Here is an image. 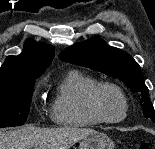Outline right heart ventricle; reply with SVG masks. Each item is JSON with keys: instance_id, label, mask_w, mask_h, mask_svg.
Returning <instances> with one entry per match:
<instances>
[{"instance_id": "obj_1", "label": "right heart ventricle", "mask_w": 155, "mask_h": 149, "mask_svg": "<svg viewBox=\"0 0 155 149\" xmlns=\"http://www.w3.org/2000/svg\"><path fill=\"white\" fill-rule=\"evenodd\" d=\"M98 82L78 70L61 80L51 103V118L61 126L92 127L101 123L88 106V93Z\"/></svg>"}]
</instances>
